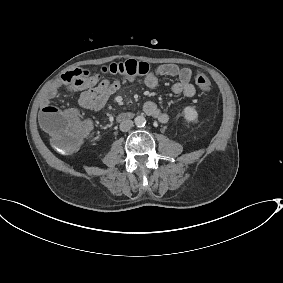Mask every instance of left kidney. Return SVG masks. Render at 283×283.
Segmentation results:
<instances>
[{
  "label": "left kidney",
  "instance_id": "5707ae66",
  "mask_svg": "<svg viewBox=\"0 0 283 283\" xmlns=\"http://www.w3.org/2000/svg\"><path fill=\"white\" fill-rule=\"evenodd\" d=\"M184 117L188 122H194L198 118V113L195 108L188 106L184 108Z\"/></svg>",
  "mask_w": 283,
  "mask_h": 283
}]
</instances>
